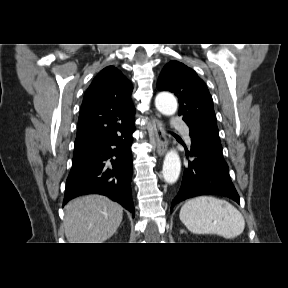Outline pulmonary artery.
Returning <instances> with one entry per match:
<instances>
[{"mask_svg":"<svg viewBox=\"0 0 288 288\" xmlns=\"http://www.w3.org/2000/svg\"><path fill=\"white\" fill-rule=\"evenodd\" d=\"M171 127L174 128V129H181L183 131L184 135H185L186 140L187 141L190 140L189 130L186 127V125H185L183 120H181L178 117H172L171 118Z\"/></svg>","mask_w":288,"mask_h":288,"instance_id":"pulmonary-artery-1","label":"pulmonary artery"}]
</instances>
